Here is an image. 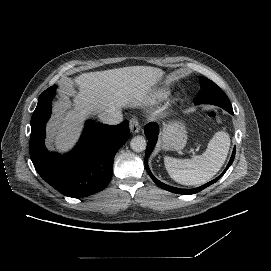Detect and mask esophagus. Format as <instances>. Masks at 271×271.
<instances>
[{
	"mask_svg": "<svg viewBox=\"0 0 271 271\" xmlns=\"http://www.w3.org/2000/svg\"><path fill=\"white\" fill-rule=\"evenodd\" d=\"M130 131L132 134H137L140 131L139 121L135 116L130 119Z\"/></svg>",
	"mask_w": 271,
	"mask_h": 271,
	"instance_id": "34e87169",
	"label": "esophagus"
}]
</instances>
